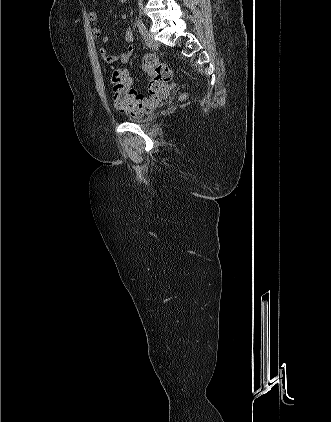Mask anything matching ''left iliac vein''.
<instances>
[{
	"label": "left iliac vein",
	"mask_w": 331,
	"mask_h": 422,
	"mask_svg": "<svg viewBox=\"0 0 331 422\" xmlns=\"http://www.w3.org/2000/svg\"><path fill=\"white\" fill-rule=\"evenodd\" d=\"M145 44L152 49L158 48V42L153 38L150 32L146 31L143 35Z\"/></svg>",
	"instance_id": "4c4485c4"
}]
</instances>
